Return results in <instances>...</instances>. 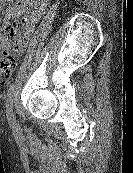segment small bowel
Here are the masks:
<instances>
[{"label":"small bowel","instance_id":"c3829d8e","mask_svg":"<svg viewBox=\"0 0 133 173\" xmlns=\"http://www.w3.org/2000/svg\"><path fill=\"white\" fill-rule=\"evenodd\" d=\"M12 0H0V9ZM49 0H19L10 6L5 14L0 18V48L8 47L10 37L19 39L21 43L16 48L17 53H21L28 42V38L33 32L36 24L41 18ZM22 17L21 25L10 23L14 18ZM21 28V33H19Z\"/></svg>","mask_w":133,"mask_h":173}]
</instances>
